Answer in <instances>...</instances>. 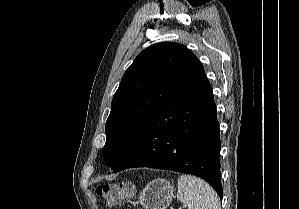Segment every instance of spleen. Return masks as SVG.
<instances>
[{
    "mask_svg": "<svg viewBox=\"0 0 299 209\" xmlns=\"http://www.w3.org/2000/svg\"><path fill=\"white\" fill-rule=\"evenodd\" d=\"M177 199L188 209H221L215 190L204 180L184 174L178 178Z\"/></svg>",
    "mask_w": 299,
    "mask_h": 209,
    "instance_id": "3e777b00",
    "label": "spleen"
}]
</instances>
